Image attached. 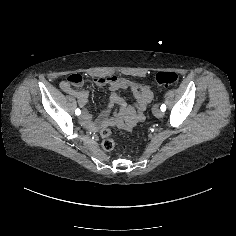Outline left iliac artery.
<instances>
[{
  "label": "left iliac artery",
  "mask_w": 236,
  "mask_h": 236,
  "mask_svg": "<svg viewBox=\"0 0 236 236\" xmlns=\"http://www.w3.org/2000/svg\"><path fill=\"white\" fill-rule=\"evenodd\" d=\"M160 109L164 112L166 110V106L164 104H162Z\"/></svg>",
  "instance_id": "44dca946"
}]
</instances>
